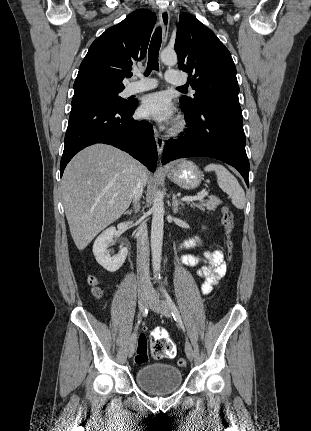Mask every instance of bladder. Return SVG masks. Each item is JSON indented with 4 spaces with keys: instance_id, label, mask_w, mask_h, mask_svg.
<instances>
[{
    "instance_id": "31cf9c89",
    "label": "bladder",
    "mask_w": 311,
    "mask_h": 431,
    "mask_svg": "<svg viewBox=\"0 0 311 431\" xmlns=\"http://www.w3.org/2000/svg\"><path fill=\"white\" fill-rule=\"evenodd\" d=\"M137 384L154 395H165L177 391L183 382L180 368L168 363L146 364L137 369Z\"/></svg>"
}]
</instances>
